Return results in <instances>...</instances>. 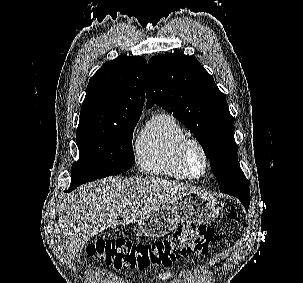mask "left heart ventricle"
Returning <instances> with one entry per match:
<instances>
[{
    "instance_id": "1",
    "label": "left heart ventricle",
    "mask_w": 303,
    "mask_h": 283,
    "mask_svg": "<svg viewBox=\"0 0 303 283\" xmlns=\"http://www.w3.org/2000/svg\"><path fill=\"white\" fill-rule=\"evenodd\" d=\"M189 163L194 174L198 175L203 170V161L200 153L196 149H192L189 154Z\"/></svg>"
}]
</instances>
